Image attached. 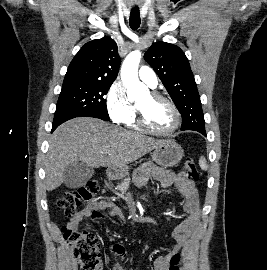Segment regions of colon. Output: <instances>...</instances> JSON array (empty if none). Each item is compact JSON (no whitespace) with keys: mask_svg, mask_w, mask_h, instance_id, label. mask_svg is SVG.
Here are the masks:
<instances>
[{"mask_svg":"<svg viewBox=\"0 0 267 270\" xmlns=\"http://www.w3.org/2000/svg\"><path fill=\"white\" fill-rule=\"evenodd\" d=\"M184 169L188 179L192 181L199 179V172L193 158H186ZM98 189V184L90 181L67 190L59 199V207L66 215L73 216L83 203L89 201L98 192ZM62 232L80 270H102L100 241L92 231L81 230L79 227L73 228L67 224L63 226ZM180 260V254H174L170 259L169 270H180Z\"/></svg>","mask_w":267,"mask_h":270,"instance_id":"obj_1","label":"colon"}]
</instances>
